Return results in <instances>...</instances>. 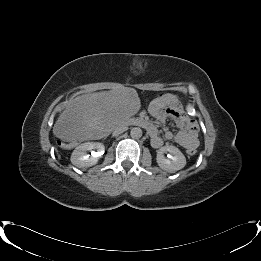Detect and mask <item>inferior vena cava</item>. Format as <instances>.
<instances>
[{"instance_id":"1","label":"inferior vena cava","mask_w":261,"mask_h":261,"mask_svg":"<svg viewBox=\"0 0 261 261\" xmlns=\"http://www.w3.org/2000/svg\"><path fill=\"white\" fill-rule=\"evenodd\" d=\"M127 130V127L125 125H120V126H117L114 131H113V135L114 136H117L121 133H123L124 131Z\"/></svg>"}]
</instances>
